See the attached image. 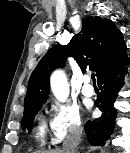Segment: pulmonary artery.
<instances>
[{
    "mask_svg": "<svg viewBox=\"0 0 130 153\" xmlns=\"http://www.w3.org/2000/svg\"><path fill=\"white\" fill-rule=\"evenodd\" d=\"M90 79L89 77L84 78V86L81 89V92L84 96L86 97H91L94 95V89L93 87L89 84Z\"/></svg>",
    "mask_w": 130,
    "mask_h": 153,
    "instance_id": "obj_1",
    "label": "pulmonary artery"
}]
</instances>
